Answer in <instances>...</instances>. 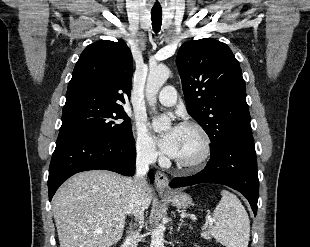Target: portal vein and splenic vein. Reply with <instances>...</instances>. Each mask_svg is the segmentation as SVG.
<instances>
[{
    "mask_svg": "<svg viewBox=\"0 0 310 247\" xmlns=\"http://www.w3.org/2000/svg\"><path fill=\"white\" fill-rule=\"evenodd\" d=\"M207 219L209 220V224H210V225H212V223H213L212 218L207 217ZM96 233L101 234V233H102V231H101V230H97V231H96Z\"/></svg>",
    "mask_w": 310,
    "mask_h": 247,
    "instance_id": "obj_1",
    "label": "portal vein and splenic vein"
}]
</instances>
